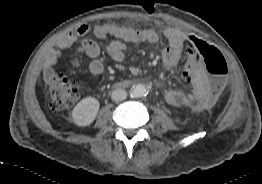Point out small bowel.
I'll list each match as a JSON object with an SVG mask.
<instances>
[{
    "label": "small bowel",
    "mask_w": 262,
    "mask_h": 184,
    "mask_svg": "<svg viewBox=\"0 0 262 184\" xmlns=\"http://www.w3.org/2000/svg\"><path fill=\"white\" fill-rule=\"evenodd\" d=\"M89 31L90 27L87 24H81L75 31L62 34L56 41L57 49L51 50L45 57V73L50 75L61 55V51L69 49L78 38H81L78 50L91 59L88 65L89 72L95 76L102 74L104 64L100 59L101 50L97 43L86 38ZM93 31L98 38H104L107 35L116 38L106 48L108 56L115 62H122L125 59V52L130 44L157 43L159 41V34L153 29L100 24L96 25ZM188 34V32L177 28H167L164 31L167 46L162 51V62L168 68L176 66L184 50V53L187 54L186 69L179 70L177 77L184 83H193V89L189 93L168 90L165 92L164 98L169 105L176 107L187 106L194 112H202L209 108L214 101L207 96L208 85L204 65L198 60L193 45L186 44Z\"/></svg>",
    "instance_id": "obj_1"
}]
</instances>
